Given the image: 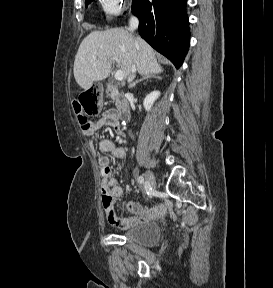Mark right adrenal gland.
Segmentation results:
<instances>
[{"instance_id":"1","label":"right adrenal gland","mask_w":273,"mask_h":288,"mask_svg":"<svg viewBox=\"0 0 273 288\" xmlns=\"http://www.w3.org/2000/svg\"><path fill=\"white\" fill-rule=\"evenodd\" d=\"M150 78L161 79L160 76H155V75H151V74H145V75L142 76V78H140V79L136 80L135 82H133V83L130 85V87L133 88V87L136 86L137 83H140V82H142V81H144V80H146V79H150Z\"/></svg>"}]
</instances>
